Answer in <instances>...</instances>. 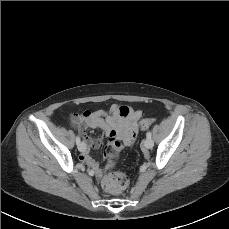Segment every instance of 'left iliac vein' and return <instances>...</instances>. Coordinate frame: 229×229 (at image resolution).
Listing matches in <instances>:
<instances>
[{
    "label": "left iliac vein",
    "mask_w": 229,
    "mask_h": 229,
    "mask_svg": "<svg viewBox=\"0 0 229 229\" xmlns=\"http://www.w3.org/2000/svg\"><path fill=\"white\" fill-rule=\"evenodd\" d=\"M143 144H144V147L147 148V149H151L153 147V145H154L153 140L151 138H146L143 141Z\"/></svg>",
    "instance_id": "4c4485c4"
}]
</instances>
